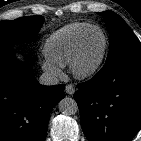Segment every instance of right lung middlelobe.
<instances>
[{
    "mask_svg": "<svg viewBox=\"0 0 141 141\" xmlns=\"http://www.w3.org/2000/svg\"><path fill=\"white\" fill-rule=\"evenodd\" d=\"M44 18L42 16H27L12 21L0 22V52L11 49L15 44L35 39Z\"/></svg>",
    "mask_w": 141,
    "mask_h": 141,
    "instance_id": "1",
    "label": "right lung middle lobe"
}]
</instances>
